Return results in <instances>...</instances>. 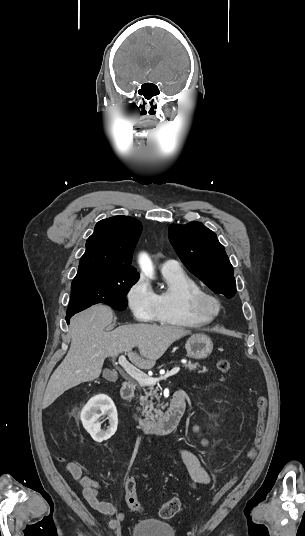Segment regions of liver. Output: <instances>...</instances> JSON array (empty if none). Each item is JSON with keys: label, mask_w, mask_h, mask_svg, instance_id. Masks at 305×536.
Returning <instances> with one entry per match:
<instances>
[{"label": "liver", "mask_w": 305, "mask_h": 536, "mask_svg": "<svg viewBox=\"0 0 305 536\" xmlns=\"http://www.w3.org/2000/svg\"><path fill=\"white\" fill-rule=\"evenodd\" d=\"M113 322L111 308L96 304L74 316L70 322V350L52 374L43 398V408H48L66 390L97 380L104 360L127 352V356L140 370H151L168 350L169 346L190 334L179 326H151L129 324L119 326L113 332H104ZM139 348L140 356L132 352Z\"/></svg>", "instance_id": "obj_1"}]
</instances>
